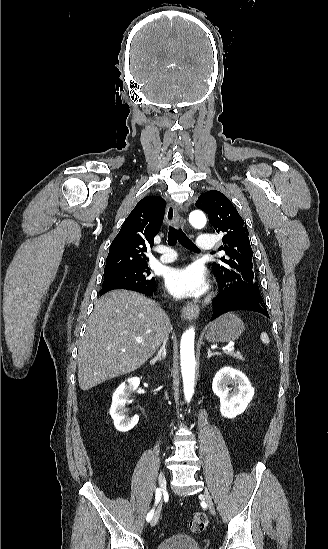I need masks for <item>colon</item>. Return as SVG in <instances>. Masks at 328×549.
<instances>
[{
  "instance_id": "1",
  "label": "colon",
  "mask_w": 328,
  "mask_h": 549,
  "mask_svg": "<svg viewBox=\"0 0 328 549\" xmlns=\"http://www.w3.org/2000/svg\"><path fill=\"white\" fill-rule=\"evenodd\" d=\"M207 523V516L202 512H196L189 522V528L193 533H201L206 528Z\"/></svg>"
}]
</instances>
